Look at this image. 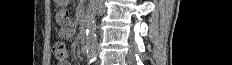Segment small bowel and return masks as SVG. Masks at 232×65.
<instances>
[{
    "label": "small bowel",
    "mask_w": 232,
    "mask_h": 65,
    "mask_svg": "<svg viewBox=\"0 0 232 65\" xmlns=\"http://www.w3.org/2000/svg\"><path fill=\"white\" fill-rule=\"evenodd\" d=\"M57 16L54 17L55 21H66L67 17H74V12H57ZM56 28H60L59 32H55V37L60 38V43H69V40H77V35H73L70 29H67V23H56ZM59 65H71L69 62L65 61Z\"/></svg>",
    "instance_id": "obj_1"
}]
</instances>
